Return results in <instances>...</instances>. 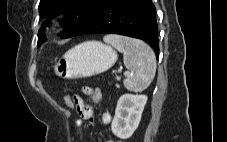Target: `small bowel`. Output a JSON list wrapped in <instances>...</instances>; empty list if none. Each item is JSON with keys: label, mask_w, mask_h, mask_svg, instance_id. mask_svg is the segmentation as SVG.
Wrapping results in <instances>:
<instances>
[{"label": "small bowel", "mask_w": 227, "mask_h": 142, "mask_svg": "<svg viewBox=\"0 0 227 142\" xmlns=\"http://www.w3.org/2000/svg\"><path fill=\"white\" fill-rule=\"evenodd\" d=\"M83 93L91 97L93 104L98 103L101 99V92L98 88L85 86L83 87ZM73 101L79 115V118L74 122L73 127L76 128L80 126L85 120H89L91 123H93L94 122L93 105L85 104L83 99L79 95H74ZM100 121L104 125L109 124L111 121L110 114L107 112L102 113L100 115ZM105 142H123V141L118 139H113V140H107Z\"/></svg>", "instance_id": "obj_1"}]
</instances>
